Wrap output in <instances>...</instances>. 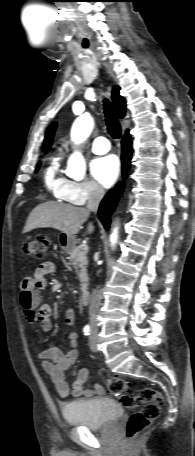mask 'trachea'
<instances>
[{
  "label": "trachea",
  "instance_id": "trachea-1",
  "mask_svg": "<svg viewBox=\"0 0 195 456\" xmlns=\"http://www.w3.org/2000/svg\"><path fill=\"white\" fill-rule=\"evenodd\" d=\"M104 113L106 117L107 130L111 137L118 139L121 135V127L119 121L114 113L111 103L104 99Z\"/></svg>",
  "mask_w": 195,
  "mask_h": 456
}]
</instances>
